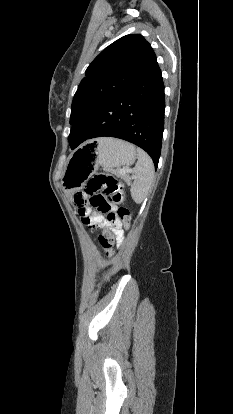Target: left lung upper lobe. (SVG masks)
<instances>
[{
    "mask_svg": "<svg viewBox=\"0 0 233 414\" xmlns=\"http://www.w3.org/2000/svg\"><path fill=\"white\" fill-rule=\"evenodd\" d=\"M156 62L151 45L140 34L126 35L105 48L85 71L74 95V126L109 98L143 76Z\"/></svg>",
    "mask_w": 233,
    "mask_h": 414,
    "instance_id": "obj_1",
    "label": "left lung upper lobe"
}]
</instances>
